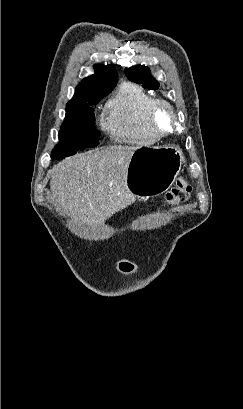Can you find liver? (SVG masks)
Returning <instances> with one entry per match:
<instances>
[{
	"instance_id": "liver-1",
	"label": "liver",
	"mask_w": 243,
	"mask_h": 409,
	"mask_svg": "<svg viewBox=\"0 0 243 409\" xmlns=\"http://www.w3.org/2000/svg\"><path fill=\"white\" fill-rule=\"evenodd\" d=\"M137 147L111 146L66 158L51 170L53 200L76 223L97 227L131 205L128 165Z\"/></svg>"
}]
</instances>
